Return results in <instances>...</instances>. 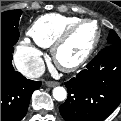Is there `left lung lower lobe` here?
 Here are the masks:
<instances>
[{
  "label": "left lung lower lobe",
  "mask_w": 121,
  "mask_h": 121,
  "mask_svg": "<svg viewBox=\"0 0 121 121\" xmlns=\"http://www.w3.org/2000/svg\"><path fill=\"white\" fill-rule=\"evenodd\" d=\"M67 100L59 110L66 121H102L121 102V45L102 49L65 83Z\"/></svg>",
  "instance_id": "1"
}]
</instances>
